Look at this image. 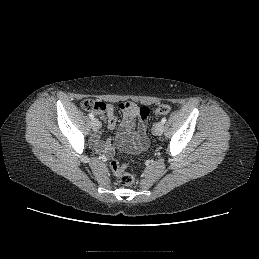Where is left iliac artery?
<instances>
[{"label":"left iliac artery","mask_w":259,"mask_h":259,"mask_svg":"<svg viewBox=\"0 0 259 259\" xmlns=\"http://www.w3.org/2000/svg\"><path fill=\"white\" fill-rule=\"evenodd\" d=\"M167 121L166 117H163L161 122L164 124Z\"/></svg>","instance_id":"left-iliac-artery-1"}]
</instances>
